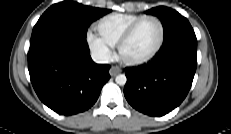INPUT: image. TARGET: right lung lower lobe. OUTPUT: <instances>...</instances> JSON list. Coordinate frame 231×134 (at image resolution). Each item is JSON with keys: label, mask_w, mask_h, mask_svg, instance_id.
I'll return each mask as SVG.
<instances>
[{"label": "right lung lower lobe", "mask_w": 231, "mask_h": 134, "mask_svg": "<svg viewBox=\"0 0 231 134\" xmlns=\"http://www.w3.org/2000/svg\"><path fill=\"white\" fill-rule=\"evenodd\" d=\"M109 68L92 61L85 38L77 34L50 28L31 38L32 85L40 100L59 114L89 109L110 78Z\"/></svg>", "instance_id": "obj_1"}]
</instances>
